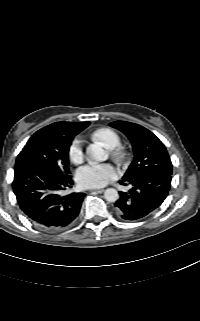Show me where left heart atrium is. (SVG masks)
Wrapping results in <instances>:
<instances>
[{"label": "left heart atrium", "mask_w": 200, "mask_h": 321, "mask_svg": "<svg viewBox=\"0 0 200 321\" xmlns=\"http://www.w3.org/2000/svg\"><path fill=\"white\" fill-rule=\"evenodd\" d=\"M116 177L117 172L110 164H89L77 172V181L83 188H100Z\"/></svg>", "instance_id": "left-heart-atrium-1"}]
</instances>
